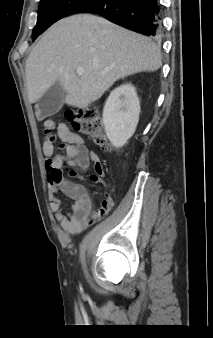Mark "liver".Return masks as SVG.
I'll return each instance as SVG.
<instances>
[{
	"label": "liver",
	"instance_id": "6515ba94",
	"mask_svg": "<svg viewBox=\"0 0 213 338\" xmlns=\"http://www.w3.org/2000/svg\"><path fill=\"white\" fill-rule=\"evenodd\" d=\"M162 65L160 47L151 39L90 14L73 15L52 25L26 61L30 103L56 82L66 104L85 108L115 81ZM82 67L83 75H78Z\"/></svg>",
	"mask_w": 213,
	"mask_h": 338
}]
</instances>
